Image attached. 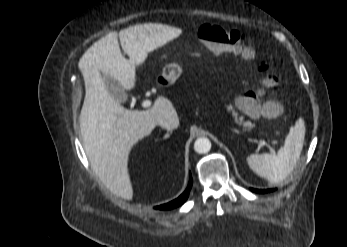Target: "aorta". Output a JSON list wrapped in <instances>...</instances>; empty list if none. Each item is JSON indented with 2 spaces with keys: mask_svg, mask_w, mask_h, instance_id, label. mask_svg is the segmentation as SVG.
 Returning a JSON list of instances; mask_svg holds the SVG:
<instances>
[{
  "mask_svg": "<svg viewBox=\"0 0 347 247\" xmlns=\"http://www.w3.org/2000/svg\"><path fill=\"white\" fill-rule=\"evenodd\" d=\"M210 149L211 141L206 137H200L194 143V150L199 154H206Z\"/></svg>",
  "mask_w": 347,
  "mask_h": 247,
  "instance_id": "1",
  "label": "aorta"
}]
</instances>
